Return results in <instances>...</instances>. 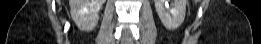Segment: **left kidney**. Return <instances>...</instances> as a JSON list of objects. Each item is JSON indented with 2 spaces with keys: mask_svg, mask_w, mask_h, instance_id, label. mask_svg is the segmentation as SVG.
<instances>
[{
  "mask_svg": "<svg viewBox=\"0 0 261 44\" xmlns=\"http://www.w3.org/2000/svg\"><path fill=\"white\" fill-rule=\"evenodd\" d=\"M165 0H154L157 14L168 30L177 29L184 21L186 14V0H173L171 9Z\"/></svg>",
  "mask_w": 261,
  "mask_h": 44,
  "instance_id": "5707ae66",
  "label": "left kidney"
}]
</instances>
